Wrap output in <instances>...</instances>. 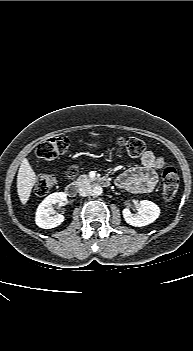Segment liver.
<instances>
[{
  "mask_svg": "<svg viewBox=\"0 0 193 351\" xmlns=\"http://www.w3.org/2000/svg\"><path fill=\"white\" fill-rule=\"evenodd\" d=\"M35 182L36 174L30 166L29 161L24 158L17 174V192L23 205L29 200Z\"/></svg>",
  "mask_w": 193,
  "mask_h": 351,
  "instance_id": "6515ba94",
  "label": "liver"
}]
</instances>
